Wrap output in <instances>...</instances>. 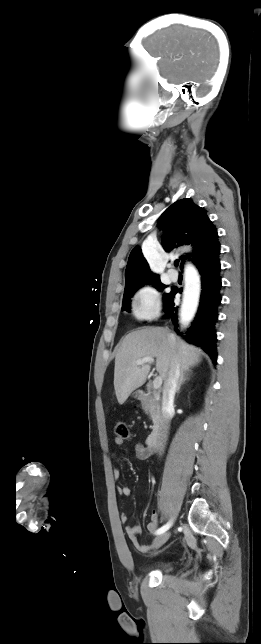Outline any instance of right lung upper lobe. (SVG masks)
Instances as JSON below:
<instances>
[{
  "mask_svg": "<svg viewBox=\"0 0 261 644\" xmlns=\"http://www.w3.org/2000/svg\"><path fill=\"white\" fill-rule=\"evenodd\" d=\"M159 226L164 230L162 245L167 252L184 245L193 246V252L180 256L181 260L191 256L198 265L218 258L220 245L217 229L209 220L206 210L191 199L178 200L168 207L160 217ZM157 280H160L159 276L150 270L141 249L134 247L126 267L125 289L137 283Z\"/></svg>",
  "mask_w": 261,
  "mask_h": 644,
  "instance_id": "obj_1",
  "label": "right lung upper lobe"
}]
</instances>
